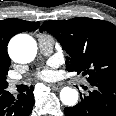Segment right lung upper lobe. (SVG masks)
<instances>
[{"instance_id":"cb5924a9","label":"right lung upper lobe","mask_w":116,"mask_h":116,"mask_svg":"<svg viewBox=\"0 0 116 116\" xmlns=\"http://www.w3.org/2000/svg\"><path fill=\"white\" fill-rule=\"evenodd\" d=\"M39 24V22H29L16 18L0 21V70H4L11 64L7 53L9 40L18 33L36 30Z\"/></svg>"}]
</instances>
